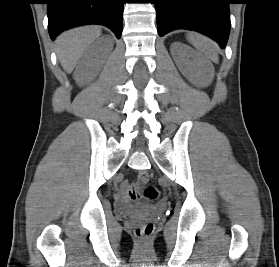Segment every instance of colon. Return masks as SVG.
Returning <instances> with one entry per match:
<instances>
[{
  "instance_id": "1",
  "label": "colon",
  "mask_w": 279,
  "mask_h": 267,
  "mask_svg": "<svg viewBox=\"0 0 279 267\" xmlns=\"http://www.w3.org/2000/svg\"><path fill=\"white\" fill-rule=\"evenodd\" d=\"M148 180V175L146 173H141L138 177V183L143 185L142 190H141V197L147 200H157L160 196L159 190L153 186L146 184ZM133 192H137L136 190ZM154 226L152 223H144L141 225H138L135 228V234L138 238L140 239H147L151 236L153 233Z\"/></svg>"
}]
</instances>
